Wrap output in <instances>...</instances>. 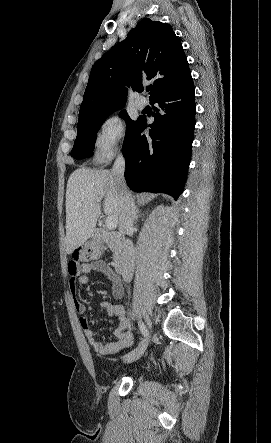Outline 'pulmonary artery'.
Returning <instances> with one entry per match:
<instances>
[{"mask_svg": "<svg viewBox=\"0 0 271 443\" xmlns=\"http://www.w3.org/2000/svg\"><path fill=\"white\" fill-rule=\"evenodd\" d=\"M134 104L138 110H143L148 106V100L143 95H137Z\"/></svg>", "mask_w": 271, "mask_h": 443, "instance_id": "obj_1", "label": "pulmonary artery"}]
</instances>
